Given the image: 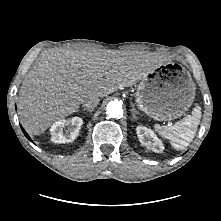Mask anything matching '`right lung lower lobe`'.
<instances>
[{
  "label": "right lung lower lobe",
  "instance_id": "1",
  "mask_svg": "<svg viewBox=\"0 0 221 221\" xmlns=\"http://www.w3.org/2000/svg\"><path fill=\"white\" fill-rule=\"evenodd\" d=\"M22 131H23L24 135L32 142V140L30 139V137L28 136V134L26 133V131L23 128H22Z\"/></svg>",
  "mask_w": 221,
  "mask_h": 221
}]
</instances>
